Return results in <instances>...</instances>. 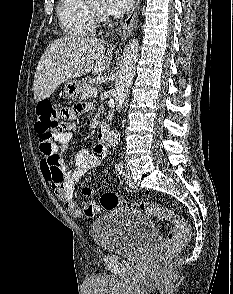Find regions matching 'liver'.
Wrapping results in <instances>:
<instances>
[{"instance_id": "obj_1", "label": "liver", "mask_w": 233, "mask_h": 294, "mask_svg": "<svg viewBox=\"0 0 233 294\" xmlns=\"http://www.w3.org/2000/svg\"><path fill=\"white\" fill-rule=\"evenodd\" d=\"M105 51V42L97 38L66 36L52 41L34 75L35 102L48 98L64 81L102 73L111 63L113 48Z\"/></svg>"}]
</instances>
